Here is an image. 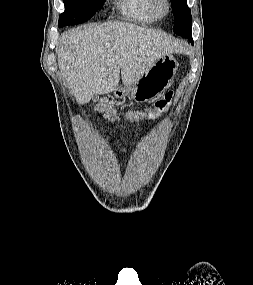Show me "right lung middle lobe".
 Wrapping results in <instances>:
<instances>
[{"mask_svg": "<svg viewBox=\"0 0 253 285\" xmlns=\"http://www.w3.org/2000/svg\"><path fill=\"white\" fill-rule=\"evenodd\" d=\"M105 0H63L65 11L59 16V27L75 25L90 19Z\"/></svg>", "mask_w": 253, "mask_h": 285, "instance_id": "obj_1", "label": "right lung middle lobe"}]
</instances>
